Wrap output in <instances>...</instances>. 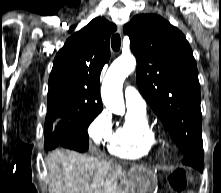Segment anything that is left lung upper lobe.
Wrapping results in <instances>:
<instances>
[{
  "instance_id": "obj_1",
  "label": "left lung upper lobe",
  "mask_w": 221,
  "mask_h": 193,
  "mask_svg": "<svg viewBox=\"0 0 221 193\" xmlns=\"http://www.w3.org/2000/svg\"><path fill=\"white\" fill-rule=\"evenodd\" d=\"M123 31L137 59L140 92L183 155L203 147L200 84L195 59L181 31L158 15L132 18Z\"/></svg>"
}]
</instances>
